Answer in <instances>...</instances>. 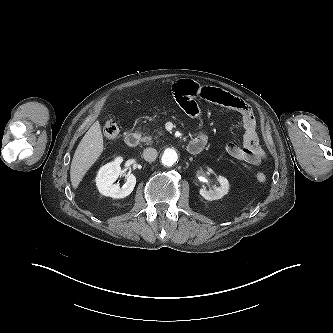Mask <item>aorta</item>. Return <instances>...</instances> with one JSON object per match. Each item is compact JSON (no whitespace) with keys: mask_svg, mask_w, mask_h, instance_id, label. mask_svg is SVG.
<instances>
[{"mask_svg":"<svg viewBox=\"0 0 333 333\" xmlns=\"http://www.w3.org/2000/svg\"><path fill=\"white\" fill-rule=\"evenodd\" d=\"M178 154L173 148H167L162 155L161 162L165 166H172L177 162Z\"/></svg>","mask_w":333,"mask_h":333,"instance_id":"1","label":"aorta"}]
</instances>
